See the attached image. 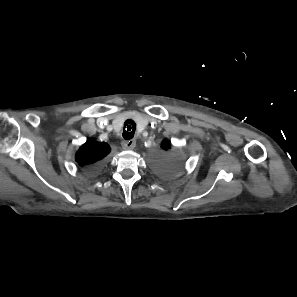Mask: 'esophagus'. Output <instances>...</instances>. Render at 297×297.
Returning <instances> with one entry per match:
<instances>
[{
	"label": "esophagus",
	"mask_w": 297,
	"mask_h": 297,
	"mask_svg": "<svg viewBox=\"0 0 297 297\" xmlns=\"http://www.w3.org/2000/svg\"><path fill=\"white\" fill-rule=\"evenodd\" d=\"M122 147L125 150H132L136 146V141L134 139L122 141Z\"/></svg>",
	"instance_id": "1"
}]
</instances>
